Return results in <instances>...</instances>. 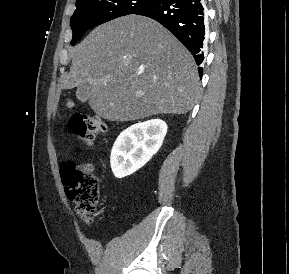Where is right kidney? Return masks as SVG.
<instances>
[{
    "mask_svg": "<svg viewBox=\"0 0 289 274\" xmlns=\"http://www.w3.org/2000/svg\"><path fill=\"white\" fill-rule=\"evenodd\" d=\"M167 128L165 121L152 119L121 132L110 157L114 176L123 178L143 167L162 146Z\"/></svg>",
    "mask_w": 289,
    "mask_h": 274,
    "instance_id": "1",
    "label": "right kidney"
}]
</instances>
